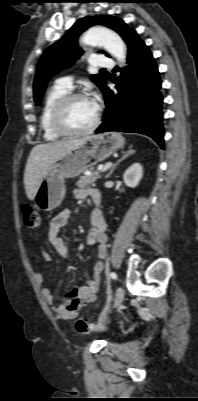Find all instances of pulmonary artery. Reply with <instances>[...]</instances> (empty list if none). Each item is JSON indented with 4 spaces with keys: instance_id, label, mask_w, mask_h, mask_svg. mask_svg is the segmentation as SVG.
I'll return each instance as SVG.
<instances>
[{
    "instance_id": "obj_1",
    "label": "pulmonary artery",
    "mask_w": 198,
    "mask_h": 401,
    "mask_svg": "<svg viewBox=\"0 0 198 401\" xmlns=\"http://www.w3.org/2000/svg\"><path fill=\"white\" fill-rule=\"evenodd\" d=\"M91 66L100 68L112 67L113 61L105 56H95L91 58ZM56 84L61 88L70 90L72 88V78L71 77L59 78Z\"/></svg>"
}]
</instances>
